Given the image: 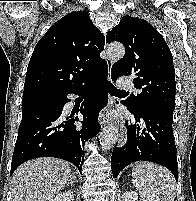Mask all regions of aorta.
<instances>
[{
  "instance_id": "762f6f07",
  "label": "aorta",
  "mask_w": 196,
  "mask_h": 201,
  "mask_svg": "<svg viewBox=\"0 0 196 201\" xmlns=\"http://www.w3.org/2000/svg\"><path fill=\"white\" fill-rule=\"evenodd\" d=\"M107 54L113 59H121L125 54V48L122 44H110L107 48ZM118 139V130L116 127H108L100 136V145L102 150H110Z\"/></svg>"
}]
</instances>
